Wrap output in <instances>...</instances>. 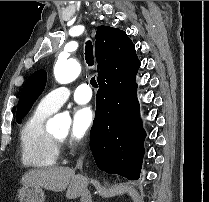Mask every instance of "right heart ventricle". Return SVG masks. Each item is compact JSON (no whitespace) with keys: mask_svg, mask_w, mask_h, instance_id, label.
Listing matches in <instances>:
<instances>
[{"mask_svg":"<svg viewBox=\"0 0 209 202\" xmlns=\"http://www.w3.org/2000/svg\"><path fill=\"white\" fill-rule=\"evenodd\" d=\"M52 113L38 106L24 121L20 131V156L25 166L42 169L56 164L59 147L45 129Z\"/></svg>","mask_w":209,"mask_h":202,"instance_id":"e07e8e85","label":"right heart ventricle"}]
</instances>
